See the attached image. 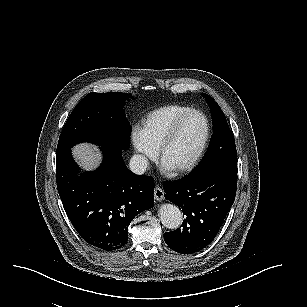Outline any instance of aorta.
Returning a JSON list of instances; mask_svg holds the SVG:
<instances>
[{"mask_svg":"<svg viewBox=\"0 0 307 307\" xmlns=\"http://www.w3.org/2000/svg\"><path fill=\"white\" fill-rule=\"evenodd\" d=\"M158 216L166 228L176 229L182 224V212L172 203H163L158 208Z\"/></svg>","mask_w":307,"mask_h":307,"instance_id":"762f6f07","label":"aorta"}]
</instances>
